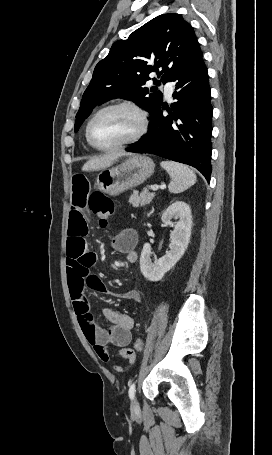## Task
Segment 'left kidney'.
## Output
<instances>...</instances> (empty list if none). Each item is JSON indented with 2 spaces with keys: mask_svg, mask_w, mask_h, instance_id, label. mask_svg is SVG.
I'll return each mask as SVG.
<instances>
[{
  "mask_svg": "<svg viewBox=\"0 0 272 455\" xmlns=\"http://www.w3.org/2000/svg\"><path fill=\"white\" fill-rule=\"evenodd\" d=\"M172 218L179 219L176 224ZM162 222L166 226L173 227L170 234V250L162 258L151 260V246L145 243L140 257V270L143 276L149 281L156 282L163 278L183 256L188 247L192 228L191 210L188 204L183 201L172 203L163 213Z\"/></svg>",
  "mask_w": 272,
  "mask_h": 455,
  "instance_id": "5707ae66",
  "label": "left kidney"
}]
</instances>
